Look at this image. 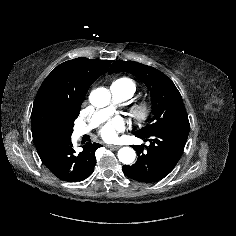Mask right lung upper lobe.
Returning a JSON list of instances; mask_svg holds the SVG:
<instances>
[{"instance_id": "cb5924a9", "label": "right lung upper lobe", "mask_w": 236, "mask_h": 236, "mask_svg": "<svg viewBox=\"0 0 236 236\" xmlns=\"http://www.w3.org/2000/svg\"><path fill=\"white\" fill-rule=\"evenodd\" d=\"M110 64L79 57L58 65L43 81L34 100L32 136L55 135L65 124L74 122L90 85Z\"/></svg>"}]
</instances>
